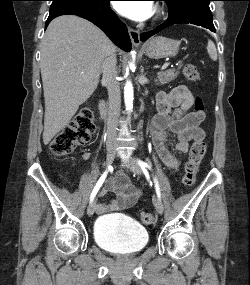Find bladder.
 <instances>
[{
	"instance_id": "bladder-1",
	"label": "bladder",
	"mask_w": 250,
	"mask_h": 285,
	"mask_svg": "<svg viewBox=\"0 0 250 285\" xmlns=\"http://www.w3.org/2000/svg\"><path fill=\"white\" fill-rule=\"evenodd\" d=\"M93 237L98 246L117 255H130L141 251L149 241L147 230L131 221H119L113 216L96 220Z\"/></svg>"
}]
</instances>
